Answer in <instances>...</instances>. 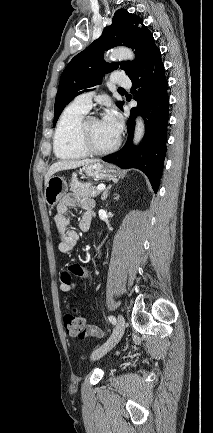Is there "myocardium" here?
I'll list each match as a JSON object with an SVG mask.
<instances>
[{"label":"myocardium","mask_w":213,"mask_h":433,"mask_svg":"<svg viewBox=\"0 0 213 433\" xmlns=\"http://www.w3.org/2000/svg\"><path fill=\"white\" fill-rule=\"evenodd\" d=\"M96 119L99 118L95 115H87L84 116L83 119L81 120L77 130V139H78L79 146L87 154H91V155H106L114 152L119 147L121 142L119 136L117 137L114 144L106 149H98L94 147L93 144L91 143L88 135V125L92 120H96Z\"/></svg>","instance_id":"f54148a6"}]
</instances>
